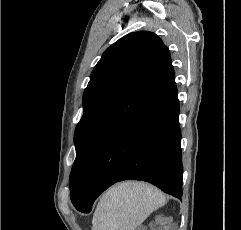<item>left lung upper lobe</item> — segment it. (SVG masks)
<instances>
[{
  "label": "left lung upper lobe",
  "instance_id": "left-lung-upper-lobe-1",
  "mask_svg": "<svg viewBox=\"0 0 241 230\" xmlns=\"http://www.w3.org/2000/svg\"><path fill=\"white\" fill-rule=\"evenodd\" d=\"M174 75L169 49L152 32L130 33L106 49L84 91V113L75 130L73 204L80 202L100 150Z\"/></svg>",
  "mask_w": 241,
  "mask_h": 230
}]
</instances>
